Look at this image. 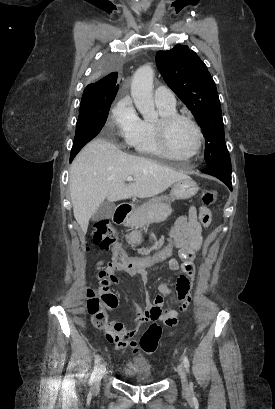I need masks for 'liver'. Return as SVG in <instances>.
Returning a JSON list of instances; mask_svg holds the SVG:
<instances>
[{
	"label": "liver",
	"mask_w": 275,
	"mask_h": 409,
	"mask_svg": "<svg viewBox=\"0 0 275 409\" xmlns=\"http://www.w3.org/2000/svg\"><path fill=\"white\" fill-rule=\"evenodd\" d=\"M127 176H134V180L125 184ZM181 178H188V174L161 166L151 158L126 154L106 138H94L71 164L69 186L74 217L87 233L92 215L105 198L113 202L131 196H155Z\"/></svg>",
	"instance_id": "1"
}]
</instances>
